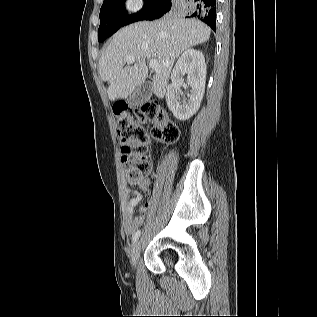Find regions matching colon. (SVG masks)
Segmentation results:
<instances>
[{
    "mask_svg": "<svg viewBox=\"0 0 317 317\" xmlns=\"http://www.w3.org/2000/svg\"><path fill=\"white\" fill-rule=\"evenodd\" d=\"M114 114L122 144V166L128 180L136 183L150 171L146 156L148 135L144 123L152 122L153 138L164 144L175 142L179 130L167 112L154 103L145 104L139 111L129 110L125 104H118L114 108Z\"/></svg>",
    "mask_w": 317,
    "mask_h": 317,
    "instance_id": "5ec220e1",
    "label": "colon"
}]
</instances>
